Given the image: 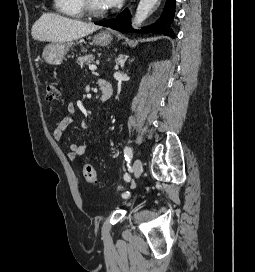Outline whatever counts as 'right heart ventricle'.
<instances>
[{
  "label": "right heart ventricle",
  "mask_w": 255,
  "mask_h": 272,
  "mask_svg": "<svg viewBox=\"0 0 255 272\" xmlns=\"http://www.w3.org/2000/svg\"><path fill=\"white\" fill-rule=\"evenodd\" d=\"M54 9L66 16L81 18L84 15L82 0H53Z\"/></svg>",
  "instance_id": "1"
}]
</instances>
